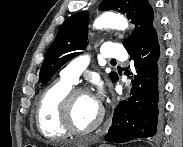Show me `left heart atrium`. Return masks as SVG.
Here are the masks:
<instances>
[{
	"instance_id": "39dd6f15",
	"label": "left heart atrium",
	"mask_w": 183,
	"mask_h": 147,
	"mask_svg": "<svg viewBox=\"0 0 183 147\" xmlns=\"http://www.w3.org/2000/svg\"><path fill=\"white\" fill-rule=\"evenodd\" d=\"M93 98L96 100V102L98 103L99 100V91L97 92V95L93 96Z\"/></svg>"
}]
</instances>
